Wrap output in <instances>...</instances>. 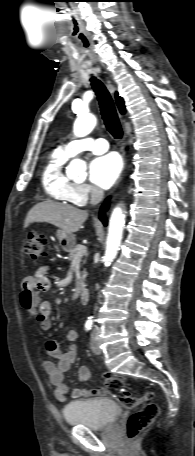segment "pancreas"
<instances>
[{"instance_id":"1","label":"pancreas","mask_w":195,"mask_h":456,"mask_svg":"<svg viewBox=\"0 0 195 456\" xmlns=\"http://www.w3.org/2000/svg\"><path fill=\"white\" fill-rule=\"evenodd\" d=\"M81 245H76L74 246L73 248H71L69 251V260L73 261L75 259H78V258H81L82 256L86 255V252L85 253H79V250L78 248L80 247ZM85 277H86V274L84 273L82 276H80L78 279H77V285L79 287H84V280H85Z\"/></svg>"}]
</instances>
